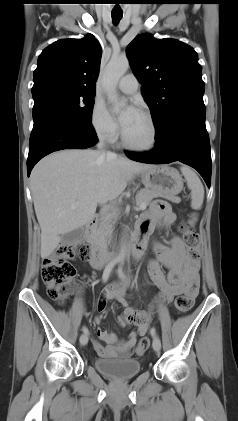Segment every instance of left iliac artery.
Segmentation results:
<instances>
[{
  "instance_id": "left-iliac-artery-1",
  "label": "left iliac artery",
  "mask_w": 238,
  "mask_h": 421,
  "mask_svg": "<svg viewBox=\"0 0 238 421\" xmlns=\"http://www.w3.org/2000/svg\"><path fill=\"white\" fill-rule=\"evenodd\" d=\"M118 275H119V277H120L122 280L127 281V278L125 277V275H124V273H123L122 266H120V267H119V269H118ZM150 333H151V335H152L153 337H155V336H156V330H155V328H152V329H151V331H150Z\"/></svg>"
}]
</instances>
